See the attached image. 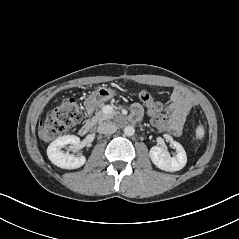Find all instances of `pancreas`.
I'll list each match as a JSON object with an SVG mask.
<instances>
[{
  "mask_svg": "<svg viewBox=\"0 0 239 239\" xmlns=\"http://www.w3.org/2000/svg\"><path fill=\"white\" fill-rule=\"evenodd\" d=\"M103 108L104 107H102L99 111H97L95 113V115L92 118V122L101 123L103 121H107V120L112 119L114 114H116V112L110 113V114L104 113Z\"/></svg>",
  "mask_w": 239,
  "mask_h": 239,
  "instance_id": "pancreas-1",
  "label": "pancreas"
}]
</instances>
